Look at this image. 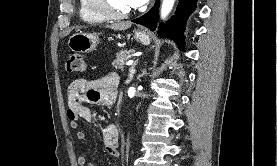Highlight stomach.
Returning a JSON list of instances; mask_svg holds the SVG:
<instances>
[{"mask_svg": "<svg viewBox=\"0 0 277 166\" xmlns=\"http://www.w3.org/2000/svg\"><path fill=\"white\" fill-rule=\"evenodd\" d=\"M136 41L143 45H149L151 42L150 36L142 31L136 30L134 33ZM99 43V37L96 33L76 32L68 41L69 48L76 53H88L96 48Z\"/></svg>", "mask_w": 277, "mask_h": 166, "instance_id": "1", "label": "stomach"}]
</instances>
